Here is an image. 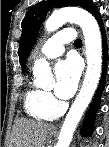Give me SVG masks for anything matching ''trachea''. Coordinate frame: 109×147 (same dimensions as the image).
<instances>
[{"label": "trachea", "mask_w": 109, "mask_h": 147, "mask_svg": "<svg viewBox=\"0 0 109 147\" xmlns=\"http://www.w3.org/2000/svg\"><path fill=\"white\" fill-rule=\"evenodd\" d=\"M75 45H81L82 44V41L81 39H76L75 42H74Z\"/></svg>", "instance_id": "1"}]
</instances>
